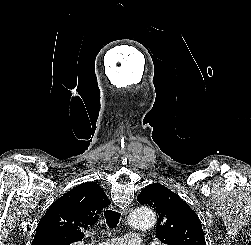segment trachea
Segmentation results:
<instances>
[{
  "mask_svg": "<svg viewBox=\"0 0 251 245\" xmlns=\"http://www.w3.org/2000/svg\"><path fill=\"white\" fill-rule=\"evenodd\" d=\"M106 223L109 228H115L119 223L120 213L114 210H106L104 212Z\"/></svg>",
  "mask_w": 251,
  "mask_h": 245,
  "instance_id": "1",
  "label": "trachea"
}]
</instances>
